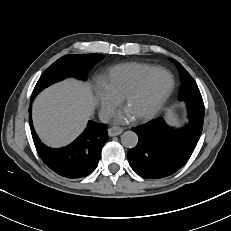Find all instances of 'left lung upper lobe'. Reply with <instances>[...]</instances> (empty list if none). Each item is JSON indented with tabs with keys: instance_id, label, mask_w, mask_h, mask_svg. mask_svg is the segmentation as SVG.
<instances>
[{
	"instance_id": "obj_1",
	"label": "left lung upper lobe",
	"mask_w": 231,
	"mask_h": 231,
	"mask_svg": "<svg viewBox=\"0 0 231 231\" xmlns=\"http://www.w3.org/2000/svg\"><path fill=\"white\" fill-rule=\"evenodd\" d=\"M175 63L182 75L180 100L186 102L188 113L204 115V103L196 82L179 62Z\"/></svg>"
}]
</instances>
